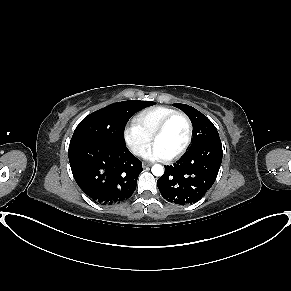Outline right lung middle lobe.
Returning <instances> with one entry per match:
<instances>
[{
	"mask_svg": "<svg viewBox=\"0 0 291 291\" xmlns=\"http://www.w3.org/2000/svg\"><path fill=\"white\" fill-rule=\"evenodd\" d=\"M155 102L129 100L113 103L86 116L76 127L70 145L79 142H96L126 146L125 125L130 117L140 109Z\"/></svg>",
	"mask_w": 291,
	"mask_h": 291,
	"instance_id": "obj_1",
	"label": "right lung middle lobe"
}]
</instances>
